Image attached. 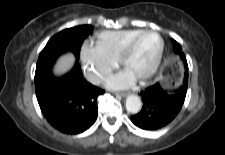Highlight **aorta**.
Segmentation results:
<instances>
[{"label": "aorta", "instance_id": "762f6f07", "mask_svg": "<svg viewBox=\"0 0 225 155\" xmlns=\"http://www.w3.org/2000/svg\"><path fill=\"white\" fill-rule=\"evenodd\" d=\"M126 110L129 113H138L141 110V100L137 95H129L126 99Z\"/></svg>", "mask_w": 225, "mask_h": 155}]
</instances>
